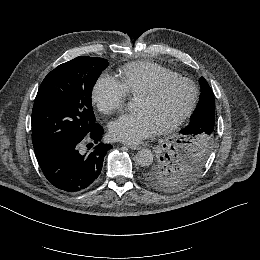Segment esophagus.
I'll use <instances>...</instances> for the list:
<instances>
[{"label": "esophagus", "instance_id": "esophagus-1", "mask_svg": "<svg viewBox=\"0 0 260 260\" xmlns=\"http://www.w3.org/2000/svg\"><path fill=\"white\" fill-rule=\"evenodd\" d=\"M125 146H127L130 149L139 150L141 147L139 145L133 144V143H124Z\"/></svg>", "mask_w": 260, "mask_h": 260}]
</instances>
